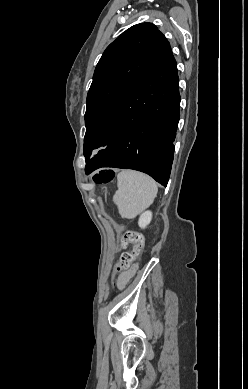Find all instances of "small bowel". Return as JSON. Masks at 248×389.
Wrapping results in <instances>:
<instances>
[{
	"instance_id": "obj_1",
	"label": "small bowel",
	"mask_w": 248,
	"mask_h": 389,
	"mask_svg": "<svg viewBox=\"0 0 248 389\" xmlns=\"http://www.w3.org/2000/svg\"><path fill=\"white\" fill-rule=\"evenodd\" d=\"M133 274H134V270H130L126 273L120 274L118 279H117L118 286L124 287L127 284V282L129 281V279L132 277Z\"/></svg>"
}]
</instances>
